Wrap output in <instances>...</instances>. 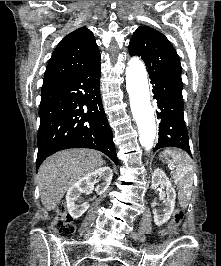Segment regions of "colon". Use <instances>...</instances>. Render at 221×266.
Returning a JSON list of instances; mask_svg holds the SVG:
<instances>
[{
	"label": "colon",
	"instance_id": "obj_1",
	"mask_svg": "<svg viewBox=\"0 0 221 266\" xmlns=\"http://www.w3.org/2000/svg\"><path fill=\"white\" fill-rule=\"evenodd\" d=\"M183 219V212L177 209L168 225L169 232H175L177 227L181 224ZM53 228L56 233L60 235H70L75 231L73 220L69 214H67L65 205L60 204L58 207L56 218L53 222ZM162 234H166V231H162Z\"/></svg>",
	"mask_w": 221,
	"mask_h": 266
}]
</instances>
